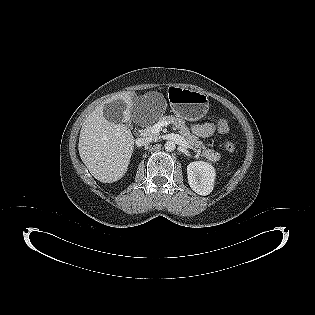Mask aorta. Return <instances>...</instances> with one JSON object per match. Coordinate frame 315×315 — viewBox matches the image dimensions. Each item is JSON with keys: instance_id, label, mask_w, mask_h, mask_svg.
I'll return each mask as SVG.
<instances>
[{"instance_id": "aorta-1", "label": "aorta", "mask_w": 315, "mask_h": 315, "mask_svg": "<svg viewBox=\"0 0 315 315\" xmlns=\"http://www.w3.org/2000/svg\"><path fill=\"white\" fill-rule=\"evenodd\" d=\"M164 146H165V150L168 152L174 151L176 148L175 142L172 140H168Z\"/></svg>"}]
</instances>
